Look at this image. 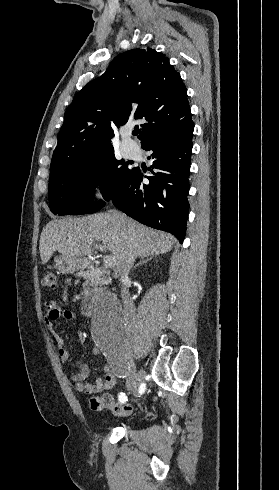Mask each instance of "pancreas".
Instances as JSON below:
<instances>
[{
    "label": "pancreas",
    "mask_w": 279,
    "mask_h": 490,
    "mask_svg": "<svg viewBox=\"0 0 279 490\" xmlns=\"http://www.w3.org/2000/svg\"><path fill=\"white\" fill-rule=\"evenodd\" d=\"M84 274V284L82 296H89L92 290H96L97 286H103L105 282L108 280V270L105 268H88L87 272H83Z\"/></svg>",
    "instance_id": "obj_1"
}]
</instances>
